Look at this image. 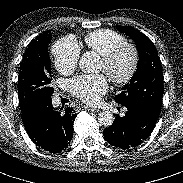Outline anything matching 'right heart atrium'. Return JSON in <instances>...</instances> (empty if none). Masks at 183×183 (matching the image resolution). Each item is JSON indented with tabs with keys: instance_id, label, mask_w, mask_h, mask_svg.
Wrapping results in <instances>:
<instances>
[{
	"instance_id": "obj_1",
	"label": "right heart atrium",
	"mask_w": 183,
	"mask_h": 183,
	"mask_svg": "<svg viewBox=\"0 0 183 183\" xmlns=\"http://www.w3.org/2000/svg\"><path fill=\"white\" fill-rule=\"evenodd\" d=\"M54 64L56 69L63 74L71 73L78 64L80 49L74 39L64 37L53 46Z\"/></svg>"
}]
</instances>
